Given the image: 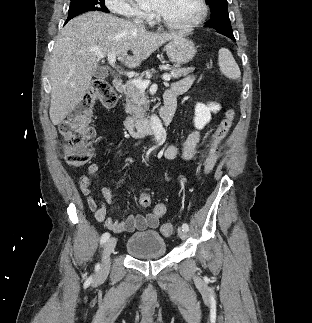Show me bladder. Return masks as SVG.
Returning <instances> with one entry per match:
<instances>
[{"instance_id": "bladder-1", "label": "bladder", "mask_w": 312, "mask_h": 323, "mask_svg": "<svg viewBox=\"0 0 312 323\" xmlns=\"http://www.w3.org/2000/svg\"><path fill=\"white\" fill-rule=\"evenodd\" d=\"M126 250L130 256L152 259L164 257L167 244L158 231H144L127 239Z\"/></svg>"}]
</instances>
